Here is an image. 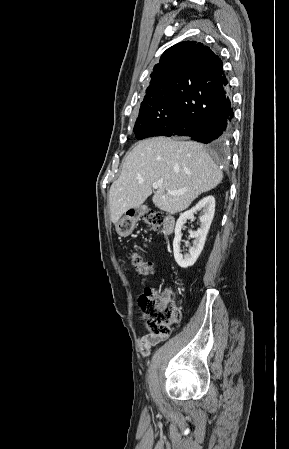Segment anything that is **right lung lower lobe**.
<instances>
[{"mask_svg":"<svg viewBox=\"0 0 289 449\" xmlns=\"http://www.w3.org/2000/svg\"><path fill=\"white\" fill-rule=\"evenodd\" d=\"M174 95L177 116L153 136H189L216 147L225 143L234 113L223 69L207 82L179 81L174 87Z\"/></svg>","mask_w":289,"mask_h":449,"instance_id":"1","label":"right lung lower lobe"}]
</instances>
